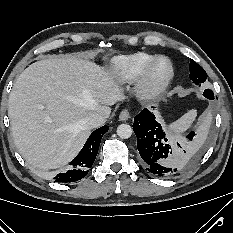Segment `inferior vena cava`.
Returning a JSON list of instances; mask_svg holds the SVG:
<instances>
[{"label":"inferior vena cava","instance_id":"602c4592","mask_svg":"<svg viewBox=\"0 0 233 233\" xmlns=\"http://www.w3.org/2000/svg\"><path fill=\"white\" fill-rule=\"evenodd\" d=\"M107 115L104 113H92L85 119L86 125L90 129L98 128L105 124Z\"/></svg>","mask_w":233,"mask_h":233}]
</instances>
